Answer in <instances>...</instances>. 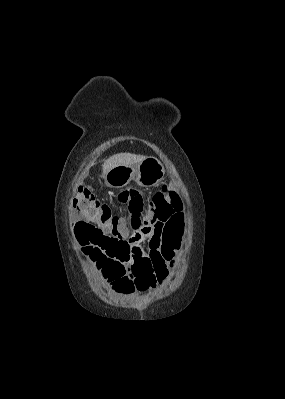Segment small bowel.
<instances>
[{"label":"small bowel","instance_id":"obj_1","mask_svg":"<svg viewBox=\"0 0 285 399\" xmlns=\"http://www.w3.org/2000/svg\"><path fill=\"white\" fill-rule=\"evenodd\" d=\"M159 222V220L156 217L155 212H149L148 217H147V222L144 223L142 228L138 232H134L132 234V237L130 238L134 246L138 249V254L142 257H150V254L154 250H159L164 242V233L162 230H158L156 228V223ZM185 227V222L183 218L178 219L175 224L172 227L173 231L182 233L183 229ZM118 234L121 237H127L129 235L128 230L125 227L119 228L118 229ZM147 240L149 243V248L148 249H143L142 247L139 246V242ZM92 262L98 267L101 268L104 271H108V265L106 262H101L98 259H93ZM128 265H124V271L121 273V275L114 279L111 284L113 291L120 296L126 295L127 293L122 292L116 288V284L121 282L124 278L129 279L130 277L127 276L128 272Z\"/></svg>","mask_w":285,"mask_h":399}]
</instances>
